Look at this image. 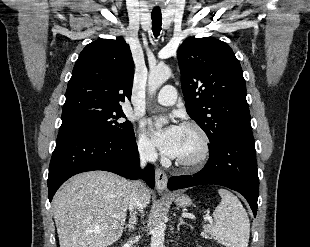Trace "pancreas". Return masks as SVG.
Wrapping results in <instances>:
<instances>
[{
    "instance_id": "cf45deb5",
    "label": "pancreas",
    "mask_w": 310,
    "mask_h": 247,
    "mask_svg": "<svg viewBox=\"0 0 310 247\" xmlns=\"http://www.w3.org/2000/svg\"><path fill=\"white\" fill-rule=\"evenodd\" d=\"M203 237L209 239V236L207 234H203Z\"/></svg>"
}]
</instances>
